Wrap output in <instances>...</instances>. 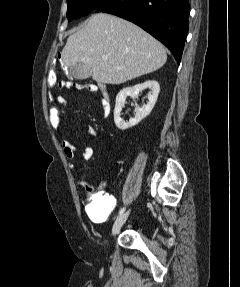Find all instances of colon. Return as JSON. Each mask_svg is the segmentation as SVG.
Wrapping results in <instances>:
<instances>
[{
	"label": "colon",
	"instance_id": "colon-1",
	"mask_svg": "<svg viewBox=\"0 0 240 287\" xmlns=\"http://www.w3.org/2000/svg\"><path fill=\"white\" fill-rule=\"evenodd\" d=\"M47 83L51 88L58 87L59 89L63 88H77V89H89V85H81L71 81L58 80L57 73L54 69L49 71L47 77ZM66 99L57 94L54 91H50L48 94V116L51 123V126L55 130H61L65 122V107ZM97 187H91L90 189H96Z\"/></svg>",
	"mask_w": 240,
	"mask_h": 287
}]
</instances>
